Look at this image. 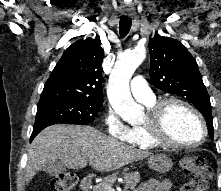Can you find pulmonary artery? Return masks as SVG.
Returning a JSON list of instances; mask_svg holds the SVG:
<instances>
[{"label": "pulmonary artery", "mask_w": 221, "mask_h": 191, "mask_svg": "<svg viewBox=\"0 0 221 191\" xmlns=\"http://www.w3.org/2000/svg\"><path fill=\"white\" fill-rule=\"evenodd\" d=\"M132 95L140 102L150 103L155 99V96L149 85L142 76H136L130 83Z\"/></svg>", "instance_id": "1"}]
</instances>
